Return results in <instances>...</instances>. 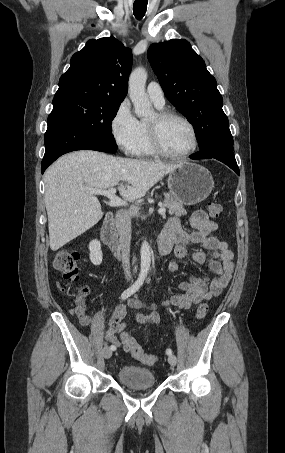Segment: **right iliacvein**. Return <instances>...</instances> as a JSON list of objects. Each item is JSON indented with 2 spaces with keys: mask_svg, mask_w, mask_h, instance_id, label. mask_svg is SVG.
Returning a JSON list of instances; mask_svg holds the SVG:
<instances>
[{
  "mask_svg": "<svg viewBox=\"0 0 285 453\" xmlns=\"http://www.w3.org/2000/svg\"><path fill=\"white\" fill-rule=\"evenodd\" d=\"M102 353L105 359H109L112 355V350L110 349V347L105 346Z\"/></svg>",
  "mask_w": 285,
  "mask_h": 453,
  "instance_id": "right-iliac-vein-1",
  "label": "right iliac vein"
}]
</instances>
